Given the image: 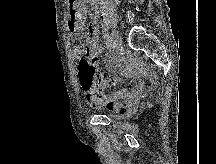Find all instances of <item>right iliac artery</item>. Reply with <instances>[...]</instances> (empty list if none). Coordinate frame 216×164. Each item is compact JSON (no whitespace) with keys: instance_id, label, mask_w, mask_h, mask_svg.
<instances>
[{"instance_id":"right-iliac-artery-1","label":"right iliac artery","mask_w":216,"mask_h":164,"mask_svg":"<svg viewBox=\"0 0 216 164\" xmlns=\"http://www.w3.org/2000/svg\"><path fill=\"white\" fill-rule=\"evenodd\" d=\"M106 45H107V48L110 50V52L115 47L114 44H113V42H112V40H111V38H109V37L107 38Z\"/></svg>"}]
</instances>
